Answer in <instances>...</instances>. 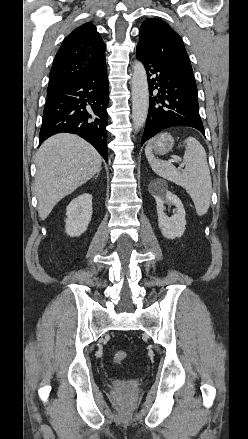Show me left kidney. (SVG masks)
<instances>
[{"label": "left kidney", "instance_id": "5707ae66", "mask_svg": "<svg viewBox=\"0 0 248 439\" xmlns=\"http://www.w3.org/2000/svg\"><path fill=\"white\" fill-rule=\"evenodd\" d=\"M149 192L152 194L157 205L158 226L162 235L167 239L179 238L183 235L186 225V213L181 200L167 186L154 180L149 184ZM165 203L175 206L176 213L171 217L165 213Z\"/></svg>", "mask_w": 248, "mask_h": 439}]
</instances>
